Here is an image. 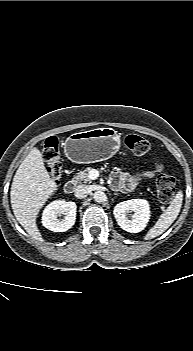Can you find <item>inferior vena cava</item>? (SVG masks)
<instances>
[{
	"label": "inferior vena cava",
	"instance_id": "602c4592",
	"mask_svg": "<svg viewBox=\"0 0 193 351\" xmlns=\"http://www.w3.org/2000/svg\"><path fill=\"white\" fill-rule=\"evenodd\" d=\"M89 192H90V189L87 185H78L75 188L74 195L77 198L82 199V198H85Z\"/></svg>",
	"mask_w": 193,
	"mask_h": 351
}]
</instances>
